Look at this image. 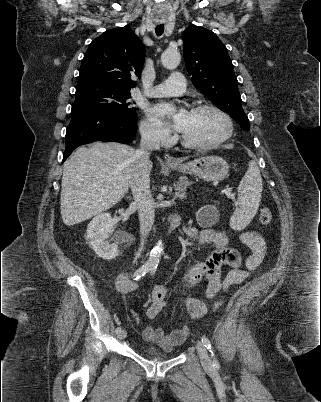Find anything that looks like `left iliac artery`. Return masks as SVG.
I'll return each mask as SVG.
<instances>
[{"label": "left iliac artery", "instance_id": "obj_1", "mask_svg": "<svg viewBox=\"0 0 321 402\" xmlns=\"http://www.w3.org/2000/svg\"><path fill=\"white\" fill-rule=\"evenodd\" d=\"M156 268H157V266H153L152 268H151V273H155V271H156ZM201 340H202V343L204 344V346L206 347V349L211 353V356H212V358H213V366L214 367H218L219 366V362H218V360L216 359V357H215V354H214V350H213V346H212V344H211V342H210V340L206 337V336H202V338H201Z\"/></svg>", "mask_w": 321, "mask_h": 402}]
</instances>
